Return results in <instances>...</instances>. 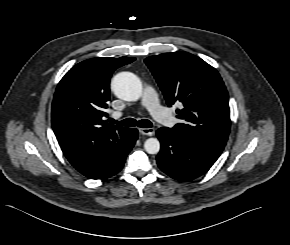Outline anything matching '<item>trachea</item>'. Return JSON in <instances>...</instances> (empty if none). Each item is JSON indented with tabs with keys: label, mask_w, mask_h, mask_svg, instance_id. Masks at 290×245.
Here are the masks:
<instances>
[{
	"label": "trachea",
	"mask_w": 290,
	"mask_h": 245,
	"mask_svg": "<svg viewBox=\"0 0 290 245\" xmlns=\"http://www.w3.org/2000/svg\"><path fill=\"white\" fill-rule=\"evenodd\" d=\"M112 122L116 123L118 125H121V126H128V127H133V126H138L141 128H151L152 127V123L147 119H142V120L137 121L133 118H127V119H124L122 121L112 120Z\"/></svg>",
	"instance_id": "trachea-1"
}]
</instances>
